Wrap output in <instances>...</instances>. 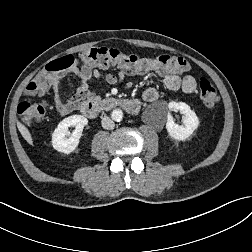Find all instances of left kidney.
<instances>
[{"instance_id": "left-kidney-1", "label": "left kidney", "mask_w": 252, "mask_h": 252, "mask_svg": "<svg viewBox=\"0 0 252 252\" xmlns=\"http://www.w3.org/2000/svg\"><path fill=\"white\" fill-rule=\"evenodd\" d=\"M169 110L180 111L184 115L183 125L176 124L171 115H168L166 130L170 137L176 140H186L198 127L199 120L196 113L183 102L171 101L168 103Z\"/></svg>"}]
</instances>
